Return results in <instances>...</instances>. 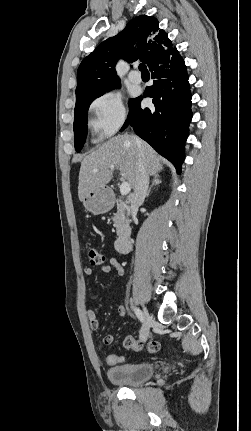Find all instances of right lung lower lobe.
I'll return each mask as SVG.
<instances>
[{
	"mask_svg": "<svg viewBox=\"0 0 251 431\" xmlns=\"http://www.w3.org/2000/svg\"><path fill=\"white\" fill-rule=\"evenodd\" d=\"M150 70L153 85L145 89L143 97L153 98L154 107L142 109V96L130 99L128 119L121 130L130 124L139 137L172 162L180 173L192 119L186 66L175 48L168 60Z\"/></svg>",
	"mask_w": 251,
	"mask_h": 431,
	"instance_id": "right-lung-lower-lobe-1",
	"label": "right lung lower lobe"
}]
</instances>
